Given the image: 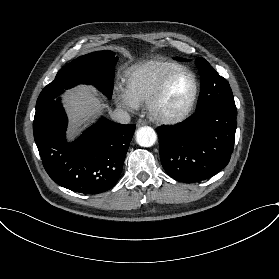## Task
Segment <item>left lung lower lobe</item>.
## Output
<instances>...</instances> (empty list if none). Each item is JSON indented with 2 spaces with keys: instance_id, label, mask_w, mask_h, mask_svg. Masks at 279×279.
<instances>
[{
  "instance_id": "left-lung-lower-lobe-1",
  "label": "left lung lower lobe",
  "mask_w": 279,
  "mask_h": 279,
  "mask_svg": "<svg viewBox=\"0 0 279 279\" xmlns=\"http://www.w3.org/2000/svg\"><path fill=\"white\" fill-rule=\"evenodd\" d=\"M237 112L211 106L185 121L158 127L160 159L177 181L208 179L227 166L234 148Z\"/></svg>"
}]
</instances>
